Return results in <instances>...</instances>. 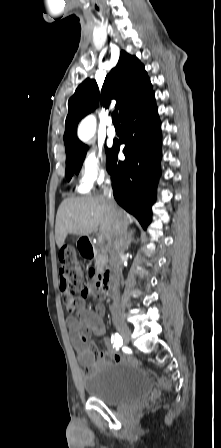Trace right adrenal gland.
Wrapping results in <instances>:
<instances>
[{
  "instance_id": "obj_1",
  "label": "right adrenal gland",
  "mask_w": 221,
  "mask_h": 448,
  "mask_svg": "<svg viewBox=\"0 0 221 448\" xmlns=\"http://www.w3.org/2000/svg\"><path fill=\"white\" fill-rule=\"evenodd\" d=\"M132 242H135V243L138 242V240H136V239L134 238V231H130V232L127 234V244H126V249L129 248V246H130V244H131Z\"/></svg>"
}]
</instances>
